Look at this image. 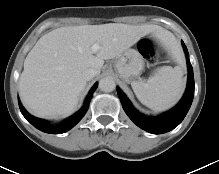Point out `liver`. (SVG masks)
<instances>
[{
	"label": "liver",
	"instance_id": "liver-1",
	"mask_svg": "<svg viewBox=\"0 0 219 174\" xmlns=\"http://www.w3.org/2000/svg\"><path fill=\"white\" fill-rule=\"evenodd\" d=\"M149 33L164 42L171 34L154 25L109 23L57 28L43 35L28 53L19 79V92L27 108L37 117L70 115L86 86L83 71L100 74L104 60L122 55ZM99 45L94 52L92 46Z\"/></svg>",
	"mask_w": 219,
	"mask_h": 174
}]
</instances>
